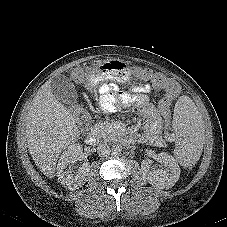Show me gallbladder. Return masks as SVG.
I'll return each instance as SVG.
<instances>
[{"mask_svg": "<svg viewBox=\"0 0 227 227\" xmlns=\"http://www.w3.org/2000/svg\"><path fill=\"white\" fill-rule=\"evenodd\" d=\"M52 93L59 102L74 107L78 103V95L74 84L64 75H58L50 83Z\"/></svg>", "mask_w": 227, "mask_h": 227, "instance_id": "1", "label": "gallbladder"}]
</instances>
